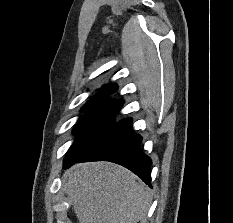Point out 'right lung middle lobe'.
<instances>
[{
    "label": "right lung middle lobe",
    "instance_id": "right-lung-middle-lobe-1",
    "mask_svg": "<svg viewBox=\"0 0 233 223\" xmlns=\"http://www.w3.org/2000/svg\"><path fill=\"white\" fill-rule=\"evenodd\" d=\"M123 101H112L108 94L93 96L84 106L88 114L84 121L75 128L80 132L68 155H81L89 149L114 124L115 115L123 105Z\"/></svg>",
    "mask_w": 233,
    "mask_h": 223
}]
</instances>
